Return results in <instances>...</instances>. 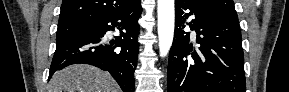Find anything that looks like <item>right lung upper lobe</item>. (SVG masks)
Masks as SVG:
<instances>
[{"instance_id":"1","label":"right lung upper lobe","mask_w":289,"mask_h":92,"mask_svg":"<svg viewBox=\"0 0 289 92\" xmlns=\"http://www.w3.org/2000/svg\"><path fill=\"white\" fill-rule=\"evenodd\" d=\"M136 0H63L58 25L88 23L123 10Z\"/></svg>"}]
</instances>
